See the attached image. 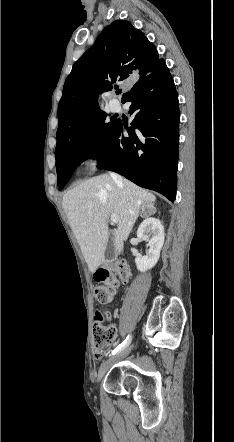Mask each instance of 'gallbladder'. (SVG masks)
Here are the masks:
<instances>
[{
  "label": "gallbladder",
  "instance_id": "1",
  "mask_svg": "<svg viewBox=\"0 0 234 442\" xmlns=\"http://www.w3.org/2000/svg\"><path fill=\"white\" fill-rule=\"evenodd\" d=\"M114 245H113V240L112 238H110V240L108 241L105 253H104V261L105 262H109L112 260L113 256H114Z\"/></svg>",
  "mask_w": 234,
  "mask_h": 442
}]
</instances>
